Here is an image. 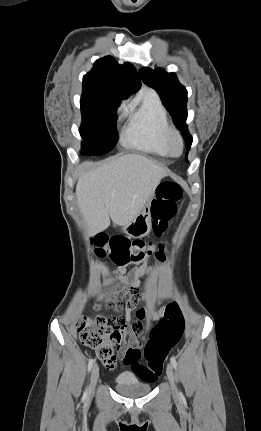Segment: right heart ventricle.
I'll return each instance as SVG.
<instances>
[{
	"label": "right heart ventricle",
	"mask_w": 261,
	"mask_h": 431,
	"mask_svg": "<svg viewBox=\"0 0 261 431\" xmlns=\"http://www.w3.org/2000/svg\"><path fill=\"white\" fill-rule=\"evenodd\" d=\"M123 142L127 147L166 157L165 134L169 128L165 108L151 91L133 102L126 112Z\"/></svg>",
	"instance_id": "1"
}]
</instances>
